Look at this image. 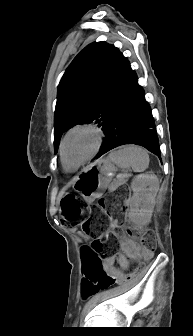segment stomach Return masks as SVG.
I'll list each match as a JSON object with an SVG mask.
<instances>
[{"mask_svg":"<svg viewBox=\"0 0 193 336\" xmlns=\"http://www.w3.org/2000/svg\"><path fill=\"white\" fill-rule=\"evenodd\" d=\"M115 170L109 160H98L81 170L74 180L73 188L86 202L91 203L109 187Z\"/></svg>","mask_w":193,"mask_h":336,"instance_id":"obj_1","label":"stomach"}]
</instances>
